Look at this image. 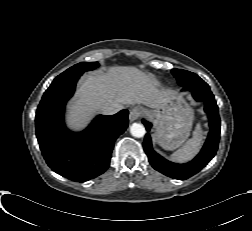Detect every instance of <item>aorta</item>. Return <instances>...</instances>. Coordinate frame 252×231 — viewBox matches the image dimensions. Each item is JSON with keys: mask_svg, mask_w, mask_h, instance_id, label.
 Listing matches in <instances>:
<instances>
[{"mask_svg": "<svg viewBox=\"0 0 252 231\" xmlns=\"http://www.w3.org/2000/svg\"><path fill=\"white\" fill-rule=\"evenodd\" d=\"M145 127L140 123H133L130 126V133L132 136L141 138L145 135Z\"/></svg>", "mask_w": 252, "mask_h": 231, "instance_id": "aorta-1", "label": "aorta"}]
</instances>
